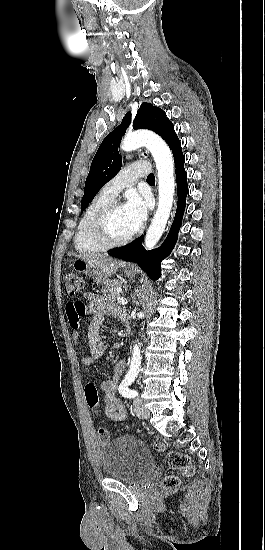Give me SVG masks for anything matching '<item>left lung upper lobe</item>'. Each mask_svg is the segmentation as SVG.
Listing matches in <instances>:
<instances>
[{
  "label": "left lung upper lobe",
  "instance_id": "5c2ea615",
  "mask_svg": "<svg viewBox=\"0 0 265 550\" xmlns=\"http://www.w3.org/2000/svg\"><path fill=\"white\" fill-rule=\"evenodd\" d=\"M130 122L131 112H128L121 124L105 137L98 148L86 178L81 211L89 205L102 186L120 171L122 158L118 152V145ZM133 128L154 131L166 141L170 149L180 143L174 131V125L166 117L165 112L150 103L141 104L134 119Z\"/></svg>",
  "mask_w": 265,
  "mask_h": 550
}]
</instances>
